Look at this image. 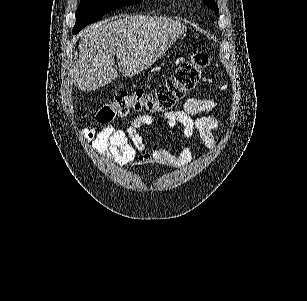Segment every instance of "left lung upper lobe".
<instances>
[{
    "label": "left lung upper lobe",
    "mask_w": 307,
    "mask_h": 301,
    "mask_svg": "<svg viewBox=\"0 0 307 301\" xmlns=\"http://www.w3.org/2000/svg\"><path fill=\"white\" fill-rule=\"evenodd\" d=\"M203 2L218 14V7L215 4V0H203Z\"/></svg>",
    "instance_id": "left-lung-upper-lobe-1"
}]
</instances>
